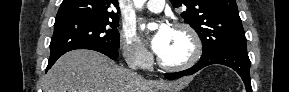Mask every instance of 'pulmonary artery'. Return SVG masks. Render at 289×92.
<instances>
[{
	"mask_svg": "<svg viewBox=\"0 0 289 92\" xmlns=\"http://www.w3.org/2000/svg\"><path fill=\"white\" fill-rule=\"evenodd\" d=\"M165 1L164 0H149L145 8L151 12L158 13L164 9Z\"/></svg>",
	"mask_w": 289,
	"mask_h": 92,
	"instance_id": "obj_1",
	"label": "pulmonary artery"
}]
</instances>
